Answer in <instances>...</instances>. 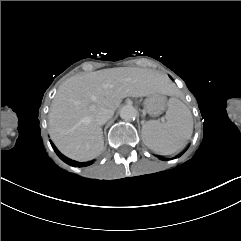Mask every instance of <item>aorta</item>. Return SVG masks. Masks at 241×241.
Here are the masks:
<instances>
[{"label":"aorta","mask_w":241,"mask_h":241,"mask_svg":"<svg viewBox=\"0 0 241 241\" xmlns=\"http://www.w3.org/2000/svg\"><path fill=\"white\" fill-rule=\"evenodd\" d=\"M120 117L125 121L135 120L137 117V110L132 105H125L120 109Z\"/></svg>","instance_id":"1"}]
</instances>
